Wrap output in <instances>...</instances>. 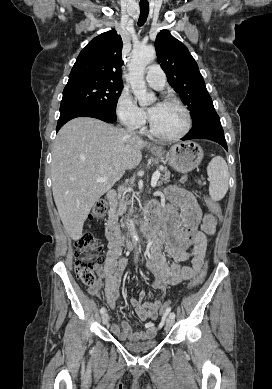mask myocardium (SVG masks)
<instances>
[{"label": "myocardium", "mask_w": 272, "mask_h": 389, "mask_svg": "<svg viewBox=\"0 0 272 389\" xmlns=\"http://www.w3.org/2000/svg\"><path fill=\"white\" fill-rule=\"evenodd\" d=\"M160 103L170 104V105H174V106L178 107L183 112V114L185 116V126L179 133L174 134V135H167V134H163V133L159 132L154 127L151 118H149V128H150V132L152 133V135H154L155 137H157L159 139L166 140V141H175V140H179V139L183 138L184 136H186L192 127V117H191L189 109L181 101L174 99V98H170V97L163 98L160 101Z\"/></svg>", "instance_id": "myocardium-1"}]
</instances>
